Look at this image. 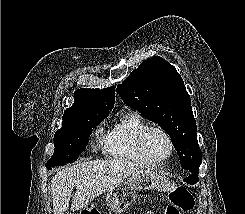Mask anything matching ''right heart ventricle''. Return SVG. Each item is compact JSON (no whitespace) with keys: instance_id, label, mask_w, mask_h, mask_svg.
I'll return each instance as SVG.
<instances>
[{"instance_id":"e07e8e85","label":"right heart ventricle","mask_w":245,"mask_h":214,"mask_svg":"<svg viewBox=\"0 0 245 214\" xmlns=\"http://www.w3.org/2000/svg\"><path fill=\"white\" fill-rule=\"evenodd\" d=\"M147 126V122L139 113L124 112L102 139L105 153L118 160L148 165L137 148L138 135Z\"/></svg>"}]
</instances>
